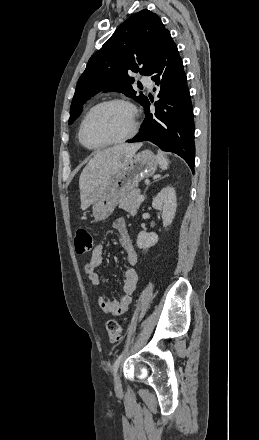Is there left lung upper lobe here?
I'll use <instances>...</instances> for the list:
<instances>
[{
  "label": "left lung upper lobe",
  "mask_w": 259,
  "mask_h": 440,
  "mask_svg": "<svg viewBox=\"0 0 259 440\" xmlns=\"http://www.w3.org/2000/svg\"><path fill=\"white\" fill-rule=\"evenodd\" d=\"M169 34L161 19L149 10L129 17L89 59L77 83L69 124L80 115L82 106L101 91L122 92L144 106L148 98L143 94L136 96L129 72L147 76Z\"/></svg>",
  "instance_id": "1"
}]
</instances>
